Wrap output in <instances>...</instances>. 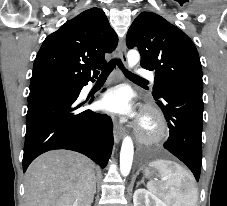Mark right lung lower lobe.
Here are the masks:
<instances>
[{
	"mask_svg": "<svg viewBox=\"0 0 227 206\" xmlns=\"http://www.w3.org/2000/svg\"><path fill=\"white\" fill-rule=\"evenodd\" d=\"M85 85L87 83L81 84V89ZM79 93L29 100L23 155L24 172L37 156L54 149L77 151L102 168L107 165L113 145L111 119L106 114L91 110L81 111L84 103L77 102Z\"/></svg>",
	"mask_w": 227,
	"mask_h": 206,
	"instance_id": "right-lung-lower-lobe-1",
	"label": "right lung lower lobe"
}]
</instances>
